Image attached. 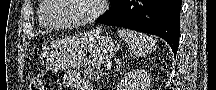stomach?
Listing matches in <instances>:
<instances>
[{"mask_svg":"<svg viewBox=\"0 0 216 90\" xmlns=\"http://www.w3.org/2000/svg\"><path fill=\"white\" fill-rule=\"evenodd\" d=\"M118 48L119 44L111 37H92L75 52L50 55L47 59L46 67L52 71H60L69 67H94L112 58Z\"/></svg>","mask_w":216,"mask_h":90,"instance_id":"stomach-1","label":"stomach"}]
</instances>
